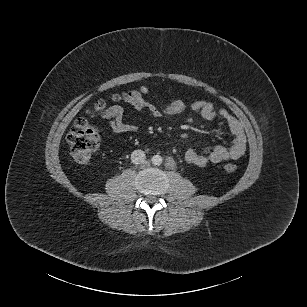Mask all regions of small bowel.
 Here are the masks:
<instances>
[{"label": "small bowel", "instance_id": "c3829d8e", "mask_svg": "<svg viewBox=\"0 0 307 307\" xmlns=\"http://www.w3.org/2000/svg\"><path fill=\"white\" fill-rule=\"evenodd\" d=\"M151 89L141 86L137 90L124 92L121 98L124 99L134 111L141 112L146 110L153 118L162 116H175L189 108L192 112L207 121H223L230 133L232 140L230 146H212L201 151L188 149L185 152V160L189 164L203 167L208 163H220L223 161L235 160L241 157L246 150V135L241 123L231 115L226 109L205 100H193L186 103L181 99H176L166 105L157 106L147 102L143 96L148 95ZM109 124L111 130L118 134L133 133L137 130L135 124L125 120L124 108L120 105H112L101 115Z\"/></svg>", "mask_w": 307, "mask_h": 307}]
</instances>
